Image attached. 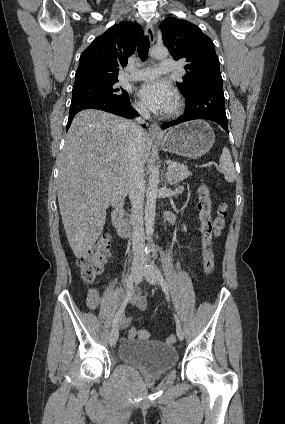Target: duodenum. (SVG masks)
<instances>
[{
  "label": "duodenum",
  "mask_w": 285,
  "mask_h": 424,
  "mask_svg": "<svg viewBox=\"0 0 285 424\" xmlns=\"http://www.w3.org/2000/svg\"><path fill=\"white\" fill-rule=\"evenodd\" d=\"M111 218H112L113 226L116 229L119 237L121 238L127 237L131 227L128 221L126 220L124 210L120 205H117L114 208L111 214Z\"/></svg>",
  "instance_id": "1"
}]
</instances>
